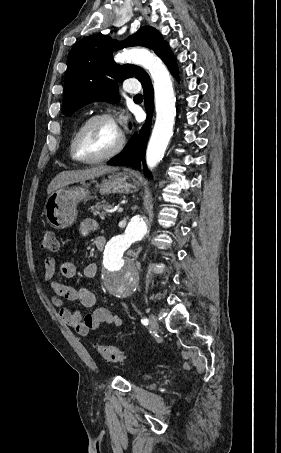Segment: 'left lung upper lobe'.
Wrapping results in <instances>:
<instances>
[{
  "instance_id": "1",
  "label": "left lung upper lobe",
  "mask_w": 281,
  "mask_h": 453,
  "mask_svg": "<svg viewBox=\"0 0 281 453\" xmlns=\"http://www.w3.org/2000/svg\"><path fill=\"white\" fill-rule=\"evenodd\" d=\"M166 44L162 35L149 26L142 27L123 42L100 34L81 39L68 55L62 113L69 116L94 101L118 102L117 82L130 77L142 81L148 75L135 65H117L112 58L114 49L144 46L160 56Z\"/></svg>"
}]
</instances>
